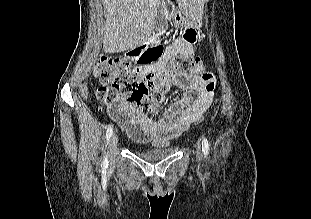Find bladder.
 <instances>
[{"label": "bladder", "instance_id": "obj_1", "mask_svg": "<svg viewBox=\"0 0 311 219\" xmlns=\"http://www.w3.org/2000/svg\"><path fill=\"white\" fill-rule=\"evenodd\" d=\"M178 151L177 146L152 147L139 152L140 156L147 160H161L172 156Z\"/></svg>", "mask_w": 311, "mask_h": 219}]
</instances>
